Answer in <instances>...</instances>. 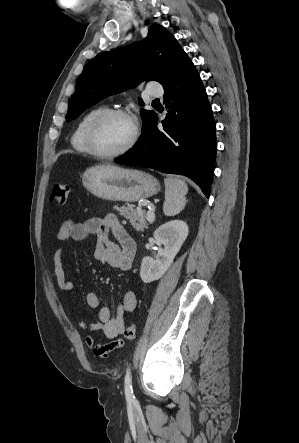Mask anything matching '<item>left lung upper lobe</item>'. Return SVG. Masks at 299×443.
I'll list each match as a JSON object with an SVG mask.
<instances>
[{
  "instance_id": "1",
  "label": "left lung upper lobe",
  "mask_w": 299,
  "mask_h": 443,
  "mask_svg": "<svg viewBox=\"0 0 299 443\" xmlns=\"http://www.w3.org/2000/svg\"><path fill=\"white\" fill-rule=\"evenodd\" d=\"M192 64L174 36L153 25L144 40L98 54L86 65L70 99L66 120L143 80L158 81L164 87ZM139 102L143 105L141 99ZM140 113L144 127L155 112L141 109Z\"/></svg>"
}]
</instances>
